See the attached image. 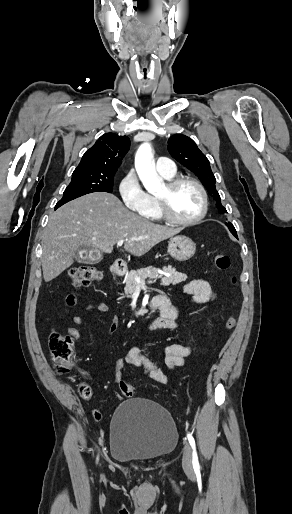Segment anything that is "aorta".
<instances>
[{
  "instance_id": "aorta-1",
  "label": "aorta",
  "mask_w": 292,
  "mask_h": 514,
  "mask_svg": "<svg viewBox=\"0 0 292 514\" xmlns=\"http://www.w3.org/2000/svg\"><path fill=\"white\" fill-rule=\"evenodd\" d=\"M152 160L150 144H142L136 154L135 168L144 188L151 194L160 188L162 182L154 170Z\"/></svg>"
}]
</instances>
